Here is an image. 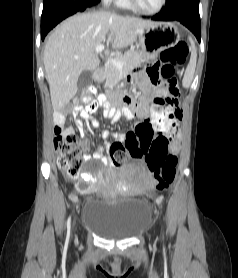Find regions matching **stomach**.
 I'll return each instance as SVG.
<instances>
[{
    "label": "stomach",
    "instance_id": "0dacf381",
    "mask_svg": "<svg viewBox=\"0 0 238 278\" xmlns=\"http://www.w3.org/2000/svg\"><path fill=\"white\" fill-rule=\"evenodd\" d=\"M180 40L178 28L169 22H152L139 35V44L144 54L143 61L156 59L164 49L175 46Z\"/></svg>",
    "mask_w": 238,
    "mask_h": 278
}]
</instances>
